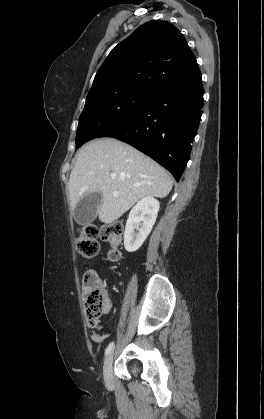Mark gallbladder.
Listing matches in <instances>:
<instances>
[{"label": "gallbladder", "mask_w": 264, "mask_h": 419, "mask_svg": "<svg viewBox=\"0 0 264 419\" xmlns=\"http://www.w3.org/2000/svg\"><path fill=\"white\" fill-rule=\"evenodd\" d=\"M102 203V196L99 192L86 194L74 209V219L80 225L93 222L97 216L98 209Z\"/></svg>", "instance_id": "obj_1"}]
</instances>
